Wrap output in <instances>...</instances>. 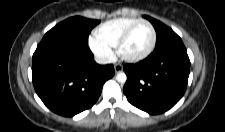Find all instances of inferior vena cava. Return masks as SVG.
Masks as SVG:
<instances>
[{
  "mask_svg": "<svg viewBox=\"0 0 225 132\" xmlns=\"http://www.w3.org/2000/svg\"><path fill=\"white\" fill-rule=\"evenodd\" d=\"M95 61L98 64H108V63H113L115 61V59H113V58H106V57H96Z\"/></svg>",
  "mask_w": 225,
  "mask_h": 132,
  "instance_id": "inferior-vena-cava-1",
  "label": "inferior vena cava"
}]
</instances>
